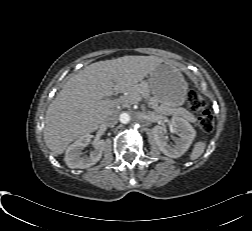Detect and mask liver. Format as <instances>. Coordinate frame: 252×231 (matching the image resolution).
Listing matches in <instances>:
<instances>
[{"instance_id":"obj_1","label":"liver","mask_w":252,"mask_h":231,"mask_svg":"<svg viewBox=\"0 0 252 231\" xmlns=\"http://www.w3.org/2000/svg\"><path fill=\"white\" fill-rule=\"evenodd\" d=\"M163 59L124 56L92 63L69 78L46 112L44 141L56 155L74 140L88 135L116 113L115 103H104L116 93H132Z\"/></svg>"}]
</instances>
